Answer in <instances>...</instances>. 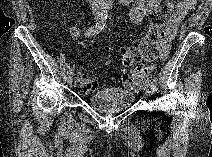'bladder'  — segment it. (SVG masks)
I'll use <instances>...</instances> for the list:
<instances>
[{"label": "bladder", "mask_w": 212, "mask_h": 157, "mask_svg": "<svg viewBox=\"0 0 212 157\" xmlns=\"http://www.w3.org/2000/svg\"><path fill=\"white\" fill-rule=\"evenodd\" d=\"M134 94L120 88L107 87L89 96L90 107L101 113H111L126 109L134 101Z\"/></svg>", "instance_id": "31cf9c89"}]
</instances>
